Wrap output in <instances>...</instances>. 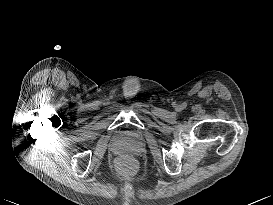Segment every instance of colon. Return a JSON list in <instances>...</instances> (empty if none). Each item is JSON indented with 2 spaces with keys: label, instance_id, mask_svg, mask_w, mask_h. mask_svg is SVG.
<instances>
[{
  "label": "colon",
  "instance_id": "1",
  "mask_svg": "<svg viewBox=\"0 0 273 205\" xmlns=\"http://www.w3.org/2000/svg\"><path fill=\"white\" fill-rule=\"evenodd\" d=\"M118 168L123 173H128L133 168V162L129 158H122L118 162Z\"/></svg>",
  "mask_w": 273,
  "mask_h": 205
}]
</instances>
